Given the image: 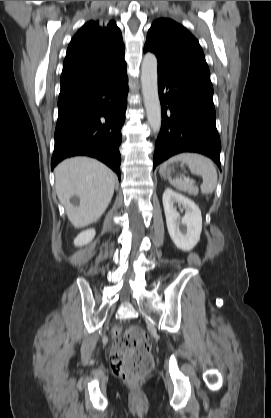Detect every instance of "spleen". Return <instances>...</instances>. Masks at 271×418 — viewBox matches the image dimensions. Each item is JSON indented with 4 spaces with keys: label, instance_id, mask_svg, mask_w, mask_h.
Segmentation results:
<instances>
[{
    "label": "spleen",
    "instance_id": "obj_1",
    "mask_svg": "<svg viewBox=\"0 0 271 418\" xmlns=\"http://www.w3.org/2000/svg\"><path fill=\"white\" fill-rule=\"evenodd\" d=\"M182 161L186 163L191 171V173L200 175L203 179V183L201 184V193L202 194H210L212 193L217 185V171L213 164V162L200 155L195 153H183L177 156L170 158L168 161L164 162L160 166V173L163 174L167 165L176 162ZM170 183L176 189L180 191H188L191 192L192 186L189 185L186 181L182 179H171Z\"/></svg>",
    "mask_w": 271,
    "mask_h": 418
}]
</instances>
